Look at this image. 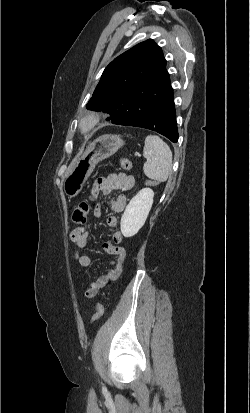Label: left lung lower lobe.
Listing matches in <instances>:
<instances>
[{
	"instance_id": "obj_1",
	"label": "left lung lower lobe",
	"mask_w": 250,
	"mask_h": 413,
	"mask_svg": "<svg viewBox=\"0 0 250 413\" xmlns=\"http://www.w3.org/2000/svg\"><path fill=\"white\" fill-rule=\"evenodd\" d=\"M109 120L117 125L153 130L177 142L176 112L168 72L154 82L139 84L132 97L107 118Z\"/></svg>"
}]
</instances>
